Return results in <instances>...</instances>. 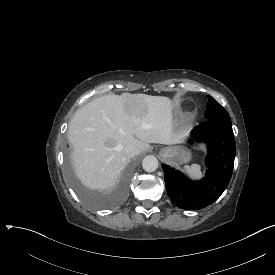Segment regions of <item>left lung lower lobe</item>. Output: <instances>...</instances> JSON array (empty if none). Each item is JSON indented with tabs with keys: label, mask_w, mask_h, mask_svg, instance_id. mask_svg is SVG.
I'll return each instance as SVG.
<instances>
[{
	"label": "left lung lower lobe",
	"mask_w": 275,
	"mask_h": 275,
	"mask_svg": "<svg viewBox=\"0 0 275 275\" xmlns=\"http://www.w3.org/2000/svg\"><path fill=\"white\" fill-rule=\"evenodd\" d=\"M192 139L208 145V172L200 181H191L180 171L162 164L169 198L179 208L199 210L214 201L229 184L236 145L232 124L222 120H206L191 132Z\"/></svg>",
	"instance_id": "0a47b994"
}]
</instances>
